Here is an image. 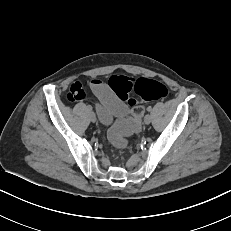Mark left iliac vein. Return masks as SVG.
Listing matches in <instances>:
<instances>
[{
    "instance_id": "4c4485c4",
    "label": "left iliac vein",
    "mask_w": 231,
    "mask_h": 231,
    "mask_svg": "<svg viewBox=\"0 0 231 231\" xmlns=\"http://www.w3.org/2000/svg\"><path fill=\"white\" fill-rule=\"evenodd\" d=\"M151 120H152L151 115L150 114H146L145 117H144V123L145 124H150Z\"/></svg>"
}]
</instances>
